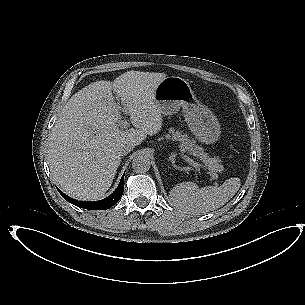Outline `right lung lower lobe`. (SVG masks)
I'll return each mask as SVG.
<instances>
[{
	"label": "right lung lower lobe",
	"instance_id": "1",
	"mask_svg": "<svg viewBox=\"0 0 305 305\" xmlns=\"http://www.w3.org/2000/svg\"><path fill=\"white\" fill-rule=\"evenodd\" d=\"M123 178H124V175L122 176L117 189L110 196H108L107 198H105L103 200L96 201V202L78 201V200H75V199L65 195L60 190H58V191L64 197V199H66L68 202H70L78 207H81L84 209H89V210H106V209H109L110 207H112L114 204H116L117 201L121 198L123 191H124Z\"/></svg>",
	"mask_w": 305,
	"mask_h": 305
}]
</instances>
